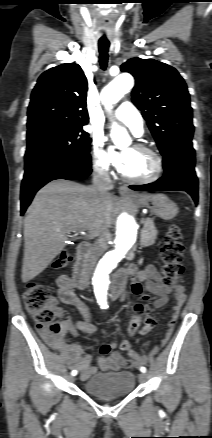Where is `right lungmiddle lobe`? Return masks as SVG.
I'll use <instances>...</instances> for the list:
<instances>
[{"label": "right lung middle lobe", "instance_id": "1", "mask_svg": "<svg viewBox=\"0 0 212 438\" xmlns=\"http://www.w3.org/2000/svg\"><path fill=\"white\" fill-rule=\"evenodd\" d=\"M80 127L45 125L28 130V151H49L63 154L90 152L91 139Z\"/></svg>", "mask_w": 212, "mask_h": 438}]
</instances>
